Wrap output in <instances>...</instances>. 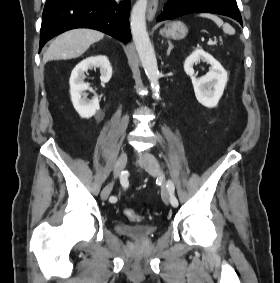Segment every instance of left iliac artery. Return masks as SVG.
Returning a JSON list of instances; mask_svg holds the SVG:
<instances>
[{
  "mask_svg": "<svg viewBox=\"0 0 280 283\" xmlns=\"http://www.w3.org/2000/svg\"><path fill=\"white\" fill-rule=\"evenodd\" d=\"M167 189H168L169 194H170L171 205L173 207H177L178 206V200L174 195L175 187H174V184L171 180H168V182H167Z\"/></svg>",
  "mask_w": 280,
  "mask_h": 283,
  "instance_id": "1",
  "label": "left iliac artery"
}]
</instances>
